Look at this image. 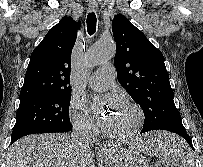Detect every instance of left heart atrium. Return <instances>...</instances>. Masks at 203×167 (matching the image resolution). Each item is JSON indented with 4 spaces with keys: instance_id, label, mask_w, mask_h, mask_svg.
<instances>
[{
    "instance_id": "39dd6f15",
    "label": "left heart atrium",
    "mask_w": 203,
    "mask_h": 167,
    "mask_svg": "<svg viewBox=\"0 0 203 167\" xmlns=\"http://www.w3.org/2000/svg\"><path fill=\"white\" fill-rule=\"evenodd\" d=\"M105 122H106V118L104 117V118L102 119V124L105 125Z\"/></svg>"
}]
</instances>
